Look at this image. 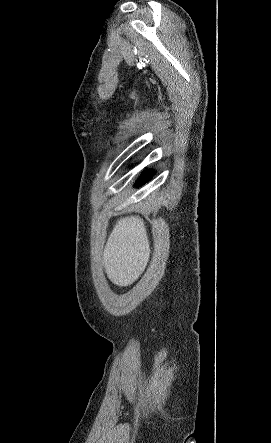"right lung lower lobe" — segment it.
I'll return each instance as SVG.
<instances>
[{"instance_id": "obj_1", "label": "right lung lower lobe", "mask_w": 271, "mask_h": 443, "mask_svg": "<svg viewBox=\"0 0 271 443\" xmlns=\"http://www.w3.org/2000/svg\"><path fill=\"white\" fill-rule=\"evenodd\" d=\"M152 172H153L152 170H149V171H147L146 173H144V174L142 175L141 179H139L137 185H140V184L144 183V180H145V179H149V178H150V175L152 174Z\"/></svg>"}]
</instances>
